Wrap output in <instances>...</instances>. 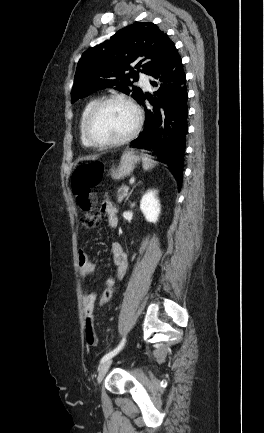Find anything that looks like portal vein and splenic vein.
Returning a JSON list of instances; mask_svg holds the SVG:
<instances>
[{
    "instance_id": "obj_1",
    "label": "portal vein and splenic vein",
    "mask_w": 264,
    "mask_h": 433,
    "mask_svg": "<svg viewBox=\"0 0 264 433\" xmlns=\"http://www.w3.org/2000/svg\"><path fill=\"white\" fill-rule=\"evenodd\" d=\"M124 191L127 193L129 191V187H124Z\"/></svg>"
}]
</instances>
